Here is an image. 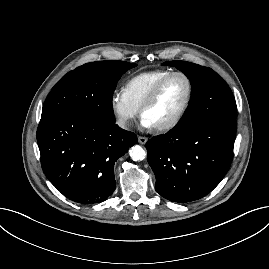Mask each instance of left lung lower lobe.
Here are the masks:
<instances>
[{
  "label": "left lung lower lobe",
  "instance_id": "1",
  "mask_svg": "<svg viewBox=\"0 0 269 269\" xmlns=\"http://www.w3.org/2000/svg\"><path fill=\"white\" fill-rule=\"evenodd\" d=\"M235 136L236 118L217 117L150 139L147 157L157 193L177 203L209 194L230 168Z\"/></svg>",
  "mask_w": 269,
  "mask_h": 269
}]
</instances>
